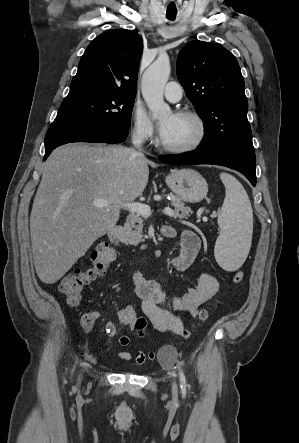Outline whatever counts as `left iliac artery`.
I'll return each mask as SVG.
<instances>
[{"label": "left iliac artery", "mask_w": 299, "mask_h": 443, "mask_svg": "<svg viewBox=\"0 0 299 443\" xmlns=\"http://www.w3.org/2000/svg\"><path fill=\"white\" fill-rule=\"evenodd\" d=\"M179 377H180V382H181V391L183 396H185L186 394V379H185V375L183 373L182 369H179Z\"/></svg>", "instance_id": "44dca946"}]
</instances>
